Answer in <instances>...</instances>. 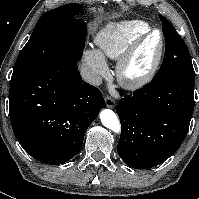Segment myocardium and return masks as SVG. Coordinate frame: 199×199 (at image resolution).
Segmentation results:
<instances>
[{
  "label": "myocardium",
  "mask_w": 199,
  "mask_h": 199,
  "mask_svg": "<svg viewBox=\"0 0 199 199\" xmlns=\"http://www.w3.org/2000/svg\"><path fill=\"white\" fill-rule=\"evenodd\" d=\"M157 32L160 35V44L158 52L150 65V67L143 73L133 75L129 72L130 65L134 59L141 44L153 33ZM165 51V37L161 30L152 28L140 35L133 43L127 48L124 54L119 58L117 63V77L119 82L128 89H137L148 84L156 75Z\"/></svg>",
  "instance_id": "obj_1"
}]
</instances>
